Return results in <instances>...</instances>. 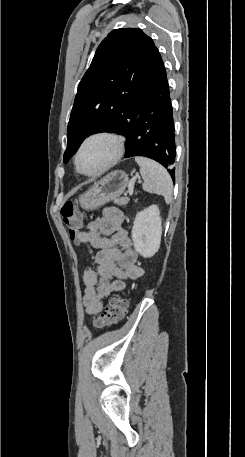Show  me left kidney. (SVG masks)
Returning <instances> with one entry per match:
<instances>
[{"instance_id":"5707ae66","label":"left kidney","mask_w":245,"mask_h":457,"mask_svg":"<svg viewBox=\"0 0 245 457\" xmlns=\"http://www.w3.org/2000/svg\"><path fill=\"white\" fill-rule=\"evenodd\" d=\"M162 220L157 204L137 212L131 233L135 251L142 257H153L160 247Z\"/></svg>"}]
</instances>
